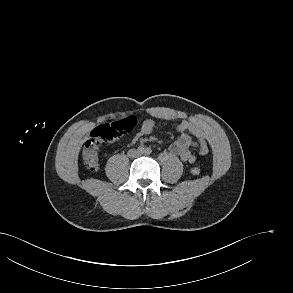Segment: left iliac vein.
Instances as JSON below:
<instances>
[{"label": "left iliac vein", "instance_id": "obj_1", "mask_svg": "<svg viewBox=\"0 0 293 293\" xmlns=\"http://www.w3.org/2000/svg\"><path fill=\"white\" fill-rule=\"evenodd\" d=\"M138 155H139V156L143 155V152H139Z\"/></svg>", "mask_w": 293, "mask_h": 293}]
</instances>
